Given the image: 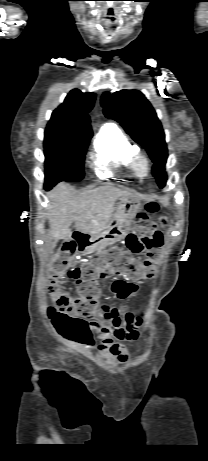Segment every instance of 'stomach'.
I'll list each match as a JSON object with an SVG mask.
<instances>
[{"label":"stomach","mask_w":208,"mask_h":461,"mask_svg":"<svg viewBox=\"0 0 208 461\" xmlns=\"http://www.w3.org/2000/svg\"><path fill=\"white\" fill-rule=\"evenodd\" d=\"M139 209L140 204L134 197H121L114 218L109 222L106 229L91 236L84 252L99 251L123 240L134 224Z\"/></svg>","instance_id":"obj_1"}]
</instances>
